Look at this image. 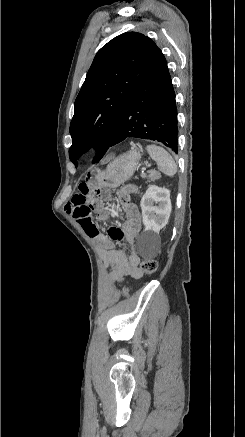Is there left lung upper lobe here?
<instances>
[{
	"label": "left lung upper lobe",
	"instance_id": "5c2ea615",
	"mask_svg": "<svg viewBox=\"0 0 245 437\" xmlns=\"http://www.w3.org/2000/svg\"><path fill=\"white\" fill-rule=\"evenodd\" d=\"M158 51L149 37L137 32L123 33L98 51L74 103L69 158L75 166L92 147L97 152L94 162L104 156L129 96Z\"/></svg>",
	"mask_w": 245,
	"mask_h": 437
}]
</instances>
